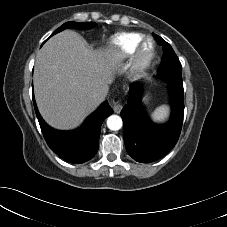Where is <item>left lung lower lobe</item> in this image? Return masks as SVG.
Instances as JSON below:
<instances>
[{
  "instance_id": "0a47b994",
  "label": "left lung lower lobe",
  "mask_w": 227,
  "mask_h": 227,
  "mask_svg": "<svg viewBox=\"0 0 227 227\" xmlns=\"http://www.w3.org/2000/svg\"><path fill=\"white\" fill-rule=\"evenodd\" d=\"M169 83L171 118L164 125L154 124L142 104L140 84H132L127 105L121 111L126 150L137 162L149 163L165 156L177 143L184 115L182 74L159 73Z\"/></svg>"
}]
</instances>
